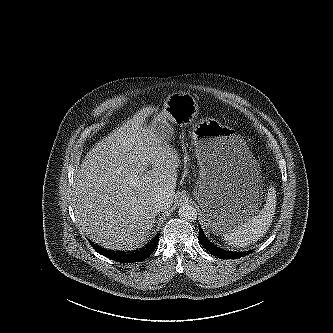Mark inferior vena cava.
<instances>
[{
  "label": "inferior vena cava",
  "instance_id": "1",
  "mask_svg": "<svg viewBox=\"0 0 333 333\" xmlns=\"http://www.w3.org/2000/svg\"><path fill=\"white\" fill-rule=\"evenodd\" d=\"M170 207V201L162 195H157L154 199V208L156 212H162Z\"/></svg>",
  "mask_w": 333,
  "mask_h": 333
}]
</instances>
